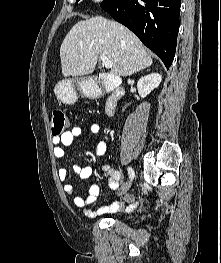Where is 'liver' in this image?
Here are the masks:
<instances>
[{
    "mask_svg": "<svg viewBox=\"0 0 221 263\" xmlns=\"http://www.w3.org/2000/svg\"><path fill=\"white\" fill-rule=\"evenodd\" d=\"M100 55L113 62L111 73L130 76L152 65L144 45L129 29L115 21L96 16L77 22L60 47L64 77L92 73Z\"/></svg>",
    "mask_w": 221,
    "mask_h": 263,
    "instance_id": "6515ba94",
    "label": "liver"
}]
</instances>
